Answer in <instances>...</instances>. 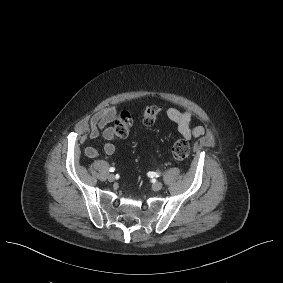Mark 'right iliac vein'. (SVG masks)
Listing matches in <instances>:
<instances>
[{"label": "right iliac vein", "instance_id": "obj_1", "mask_svg": "<svg viewBox=\"0 0 283 283\" xmlns=\"http://www.w3.org/2000/svg\"><path fill=\"white\" fill-rule=\"evenodd\" d=\"M107 179L108 181L113 182L115 180V176L113 174H109Z\"/></svg>", "mask_w": 283, "mask_h": 283}]
</instances>
